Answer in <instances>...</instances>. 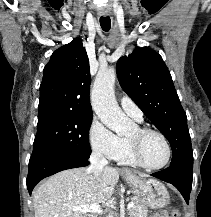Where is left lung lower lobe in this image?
Returning <instances> with one entry per match:
<instances>
[{
	"instance_id": "0a47b994",
	"label": "left lung lower lobe",
	"mask_w": 211,
	"mask_h": 217,
	"mask_svg": "<svg viewBox=\"0 0 211 217\" xmlns=\"http://www.w3.org/2000/svg\"><path fill=\"white\" fill-rule=\"evenodd\" d=\"M192 169L190 166H170L162 171L151 174L165 182L173 184L182 194L187 204L192 187Z\"/></svg>"
}]
</instances>
